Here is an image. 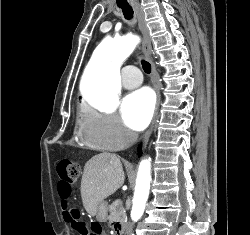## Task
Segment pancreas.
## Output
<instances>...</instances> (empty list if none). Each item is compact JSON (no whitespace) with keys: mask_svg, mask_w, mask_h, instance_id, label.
<instances>
[{"mask_svg":"<svg viewBox=\"0 0 250 235\" xmlns=\"http://www.w3.org/2000/svg\"><path fill=\"white\" fill-rule=\"evenodd\" d=\"M109 222H124L126 220V211L122 205V202H114L110 206V216L108 217Z\"/></svg>","mask_w":250,"mask_h":235,"instance_id":"1","label":"pancreas"}]
</instances>
